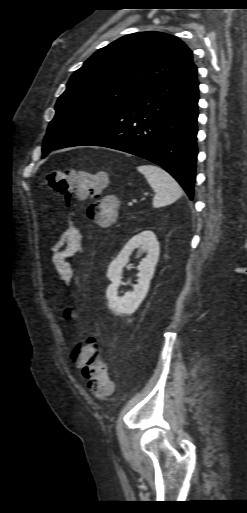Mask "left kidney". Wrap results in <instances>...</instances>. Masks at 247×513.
<instances>
[{
  "mask_svg": "<svg viewBox=\"0 0 247 513\" xmlns=\"http://www.w3.org/2000/svg\"><path fill=\"white\" fill-rule=\"evenodd\" d=\"M136 248L147 254L138 265V284L134 285L133 291L126 292L123 297H119L118 288L121 284L123 268ZM159 253L160 245L156 235L152 231L146 230L131 238L111 262L107 276L112 283L107 288L106 296L108 307L115 315H131L138 309L149 290Z\"/></svg>",
  "mask_w": 247,
  "mask_h": 513,
  "instance_id": "left-kidney-1",
  "label": "left kidney"
}]
</instances>
